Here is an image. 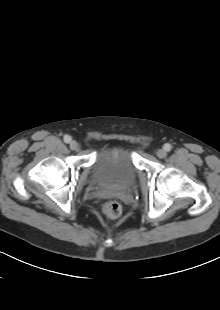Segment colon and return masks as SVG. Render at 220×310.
Returning a JSON list of instances; mask_svg holds the SVG:
<instances>
[{
	"label": "colon",
	"instance_id": "obj_1",
	"mask_svg": "<svg viewBox=\"0 0 220 310\" xmlns=\"http://www.w3.org/2000/svg\"><path fill=\"white\" fill-rule=\"evenodd\" d=\"M103 212L108 217H118L122 212V208L119 203L111 201V202H107L103 206Z\"/></svg>",
	"mask_w": 220,
	"mask_h": 310
}]
</instances>
